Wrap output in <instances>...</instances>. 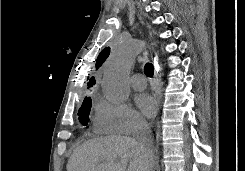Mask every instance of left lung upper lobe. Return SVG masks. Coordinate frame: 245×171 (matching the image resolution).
<instances>
[{
  "label": "left lung upper lobe",
  "instance_id": "1",
  "mask_svg": "<svg viewBox=\"0 0 245 171\" xmlns=\"http://www.w3.org/2000/svg\"><path fill=\"white\" fill-rule=\"evenodd\" d=\"M110 48L107 47L99 54L97 58L96 68L101 66V64L105 61V59L109 56Z\"/></svg>",
  "mask_w": 245,
  "mask_h": 171
}]
</instances>
